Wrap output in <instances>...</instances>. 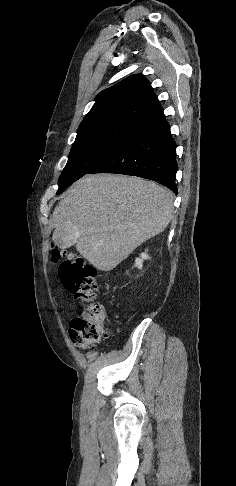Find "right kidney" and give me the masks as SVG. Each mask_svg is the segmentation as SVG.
Here are the masks:
<instances>
[{
	"mask_svg": "<svg viewBox=\"0 0 236 486\" xmlns=\"http://www.w3.org/2000/svg\"><path fill=\"white\" fill-rule=\"evenodd\" d=\"M149 258L148 254L145 252V253H142L141 254V257L140 258H137L135 260V266L138 267L139 269H141L143 267V261L144 260H147Z\"/></svg>",
	"mask_w": 236,
	"mask_h": 486,
	"instance_id": "obj_1",
	"label": "right kidney"
}]
</instances>
